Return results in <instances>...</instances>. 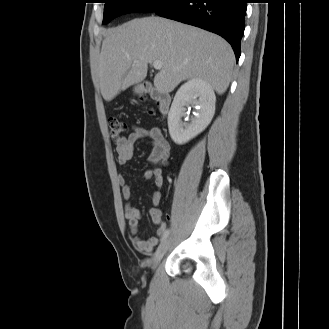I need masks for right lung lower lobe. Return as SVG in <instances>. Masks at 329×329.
<instances>
[{
    "instance_id": "right-lung-lower-lobe-1",
    "label": "right lung lower lobe",
    "mask_w": 329,
    "mask_h": 329,
    "mask_svg": "<svg viewBox=\"0 0 329 329\" xmlns=\"http://www.w3.org/2000/svg\"><path fill=\"white\" fill-rule=\"evenodd\" d=\"M246 3L247 0H171L155 13L220 35L230 43L238 61Z\"/></svg>"
}]
</instances>
